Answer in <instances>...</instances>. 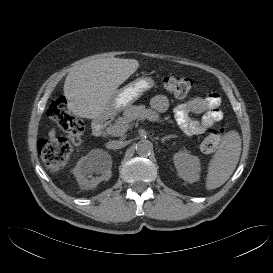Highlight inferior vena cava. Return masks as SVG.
Wrapping results in <instances>:
<instances>
[{
    "label": "inferior vena cava",
    "instance_id": "obj_1",
    "mask_svg": "<svg viewBox=\"0 0 273 273\" xmlns=\"http://www.w3.org/2000/svg\"><path fill=\"white\" fill-rule=\"evenodd\" d=\"M125 146L124 141H110L107 143V147L110 149H120Z\"/></svg>",
    "mask_w": 273,
    "mask_h": 273
}]
</instances>
